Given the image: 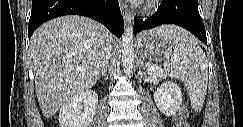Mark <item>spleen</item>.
I'll use <instances>...</instances> for the list:
<instances>
[{
  "instance_id": "1",
  "label": "spleen",
  "mask_w": 243,
  "mask_h": 127,
  "mask_svg": "<svg viewBox=\"0 0 243 127\" xmlns=\"http://www.w3.org/2000/svg\"><path fill=\"white\" fill-rule=\"evenodd\" d=\"M161 32L169 39L173 48L171 61L165 69L171 76L185 84L194 109H200L206 97L208 62L205 52L197 40L186 30L176 26H164Z\"/></svg>"
}]
</instances>
